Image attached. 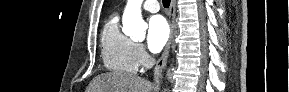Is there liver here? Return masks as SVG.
I'll return each mask as SVG.
<instances>
[{
  "label": "liver",
  "instance_id": "obj_1",
  "mask_svg": "<svg viewBox=\"0 0 289 92\" xmlns=\"http://www.w3.org/2000/svg\"><path fill=\"white\" fill-rule=\"evenodd\" d=\"M152 89V84L141 77L113 72L96 76L86 92H152Z\"/></svg>",
  "mask_w": 289,
  "mask_h": 92
}]
</instances>
